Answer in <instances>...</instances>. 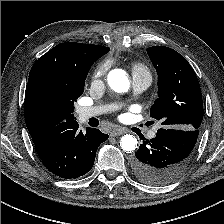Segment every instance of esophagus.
<instances>
[{
  "instance_id": "1",
  "label": "esophagus",
  "mask_w": 224,
  "mask_h": 224,
  "mask_svg": "<svg viewBox=\"0 0 224 224\" xmlns=\"http://www.w3.org/2000/svg\"><path fill=\"white\" fill-rule=\"evenodd\" d=\"M124 133H125V131L122 130V129H114L113 131L110 132V135L113 136V137H117V136H120Z\"/></svg>"
}]
</instances>
